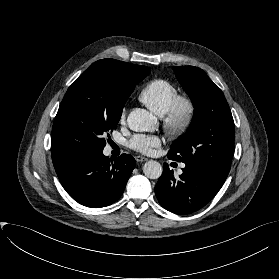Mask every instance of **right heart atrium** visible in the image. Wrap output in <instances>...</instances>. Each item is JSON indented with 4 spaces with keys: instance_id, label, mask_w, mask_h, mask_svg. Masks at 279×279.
I'll use <instances>...</instances> for the list:
<instances>
[{
    "instance_id": "1",
    "label": "right heart atrium",
    "mask_w": 279,
    "mask_h": 279,
    "mask_svg": "<svg viewBox=\"0 0 279 279\" xmlns=\"http://www.w3.org/2000/svg\"><path fill=\"white\" fill-rule=\"evenodd\" d=\"M125 119H126V110L124 109L120 114L119 120L121 123H123L125 122Z\"/></svg>"
}]
</instances>
